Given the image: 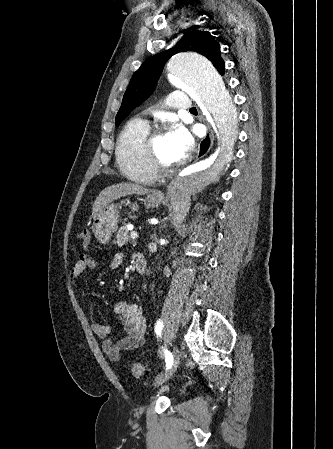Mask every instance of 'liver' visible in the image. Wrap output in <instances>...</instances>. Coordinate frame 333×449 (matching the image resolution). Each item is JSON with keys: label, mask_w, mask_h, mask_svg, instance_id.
<instances>
[{"label": "liver", "mask_w": 333, "mask_h": 449, "mask_svg": "<svg viewBox=\"0 0 333 449\" xmlns=\"http://www.w3.org/2000/svg\"><path fill=\"white\" fill-rule=\"evenodd\" d=\"M149 192L150 190L130 182H122L108 186L96 198L92 209V217L95 218L113 200L132 194L145 195Z\"/></svg>", "instance_id": "obj_1"}]
</instances>
